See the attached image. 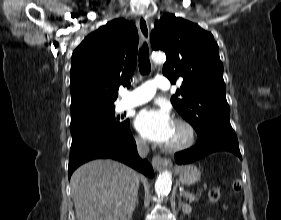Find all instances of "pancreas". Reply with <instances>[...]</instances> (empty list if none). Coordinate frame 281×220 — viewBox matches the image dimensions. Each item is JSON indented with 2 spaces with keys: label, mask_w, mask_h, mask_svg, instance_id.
<instances>
[{
  "label": "pancreas",
  "mask_w": 281,
  "mask_h": 220,
  "mask_svg": "<svg viewBox=\"0 0 281 220\" xmlns=\"http://www.w3.org/2000/svg\"><path fill=\"white\" fill-rule=\"evenodd\" d=\"M184 196L190 203L198 200V197L196 195L188 193V192H184Z\"/></svg>",
  "instance_id": "1"
}]
</instances>
